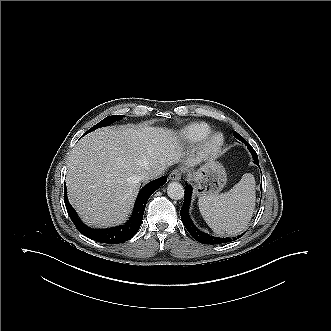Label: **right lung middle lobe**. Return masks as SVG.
Here are the masks:
<instances>
[{
	"mask_svg": "<svg viewBox=\"0 0 331 331\" xmlns=\"http://www.w3.org/2000/svg\"><path fill=\"white\" fill-rule=\"evenodd\" d=\"M123 117H124L123 115L108 116V117L104 118L102 121H100L98 124H96L94 127L89 129L85 134L98 129L99 127L108 126V125L112 124L113 122H115L116 120H121Z\"/></svg>",
	"mask_w": 331,
	"mask_h": 331,
	"instance_id": "right-lung-middle-lobe-1",
	"label": "right lung middle lobe"
}]
</instances>
